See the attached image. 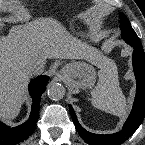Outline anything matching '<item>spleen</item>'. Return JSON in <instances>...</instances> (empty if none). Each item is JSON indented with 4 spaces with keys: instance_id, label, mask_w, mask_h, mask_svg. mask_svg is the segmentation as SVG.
I'll return each instance as SVG.
<instances>
[{
    "instance_id": "1",
    "label": "spleen",
    "mask_w": 145,
    "mask_h": 145,
    "mask_svg": "<svg viewBox=\"0 0 145 145\" xmlns=\"http://www.w3.org/2000/svg\"><path fill=\"white\" fill-rule=\"evenodd\" d=\"M98 75L99 81L91 91V104L107 113L124 116L127 104L119 87L117 70L114 66H107Z\"/></svg>"
}]
</instances>
